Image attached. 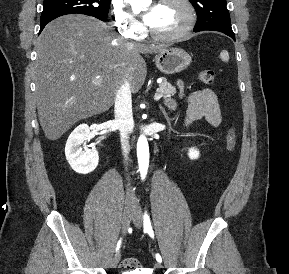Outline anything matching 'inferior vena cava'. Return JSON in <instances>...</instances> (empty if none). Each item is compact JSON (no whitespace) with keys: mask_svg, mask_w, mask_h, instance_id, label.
I'll return each mask as SVG.
<instances>
[{"mask_svg":"<svg viewBox=\"0 0 289 274\" xmlns=\"http://www.w3.org/2000/svg\"><path fill=\"white\" fill-rule=\"evenodd\" d=\"M115 121L119 126L121 148L124 156V163L127 166L128 154L130 151L128 132L133 128L131 89L128 81H124L116 94ZM127 186H130V184L128 183ZM130 191V188H128L127 193Z\"/></svg>","mask_w":289,"mask_h":274,"instance_id":"1","label":"inferior vena cava"}]
</instances>
